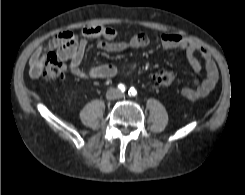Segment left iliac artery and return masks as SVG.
Returning <instances> with one entry per match:
<instances>
[{"mask_svg": "<svg viewBox=\"0 0 245 195\" xmlns=\"http://www.w3.org/2000/svg\"><path fill=\"white\" fill-rule=\"evenodd\" d=\"M128 94L129 96H135L137 94V91L134 88H130Z\"/></svg>", "mask_w": 245, "mask_h": 195, "instance_id": "44dca946", "label": "left iliac artery"}]
</instances>
